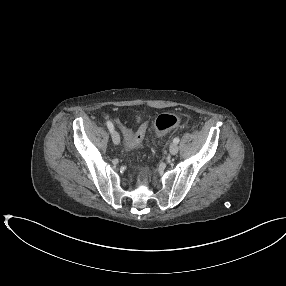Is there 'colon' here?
Masks as SVG:
<instances>
[{
	"instance_id": "1",
	"label": "colon",
	"mask_w": 286,
	"mask_h": 286,
	"mask_svg": "<svg viewBox=\"0 0 286 286\" xmlns=\"http://www.w3.org/2000/svg\"><path fill=\"white\" fill-rule=\"evenodd\" d=\"M180 122L177 115L174 114H161L157 117L154 130L158 136H162L169 130L175 128ZM146 134V125H141L138 130L126 139V148L133 149L139 147Z\"/></svg>"
}]
</instances>
